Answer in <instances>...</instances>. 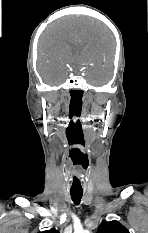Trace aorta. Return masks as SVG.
<instances>
[{"instance_id":"1","label":"aorta","mask_w":148,"mask_h":233,"mask_svg":"<svg viewBox=\"0 0 148 233\" xmlns=\"http://www.w3.org/2000/svg\"><path fill=\"white\" fill-rule=\"evenodd\" d=\"M81 233H90V232H89V231H83V230H82Z\"/></svg>"}]
</instances>
